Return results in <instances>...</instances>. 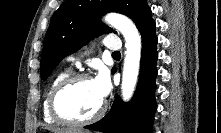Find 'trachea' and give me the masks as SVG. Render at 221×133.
I'll return each mask as SVG.
<instances>
[{"mask_svg":"<svg viewBox=\"0 0 221 133\" xmlns=\"http://www.w3.org/2000/svg\"><path fill=\"white\" fill-rule=\"evenodd\" d=\"M113 56H120V52L116 51V52H113L112 54Z\"/></svg>","mask_w":221,"mask_h":133,"instance_id":"1","label":"trachea"}]
</instances>
